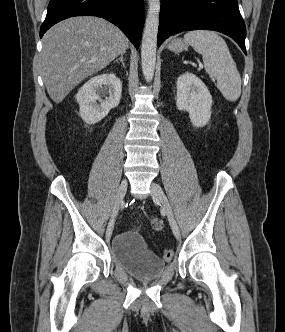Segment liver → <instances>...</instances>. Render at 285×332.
Segmentation results:
<instances>
[{"label": "liver", "mask_w": 285, "mask_h": 332, "mask_svg": "<svg viewBox=\"0 0 285 332\" xmlns=\"http://www.w3.org/2000/svg\"><path fill=\"white\" fill-rule=\"evenodd\" d=\"M129 41L112 23L92 16L63 20L43 37L41 65L50 98L60 103L85 78L126 52Z\"/></svg>", "instance_id": "1"}]
</instances>
